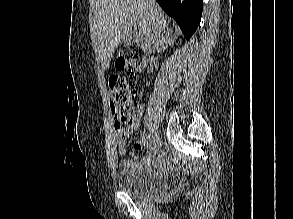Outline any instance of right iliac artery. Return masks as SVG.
<instances>
[{
	"label": "right iliac artery",
	"mask_w": 293,
	"mask_h": 219,
	"mask_svg": "<svg viewBox=\"0 0 293 219\" xmlns=\"http://www.w3.org/2000/svg\"><path fill=\"white\" fill-rule=\"evenodd\" d=\"M145 135L147 138H150L151 133H146Z\"/></svg>",
	"instance_id": "obj_1"
}]
</instances>
